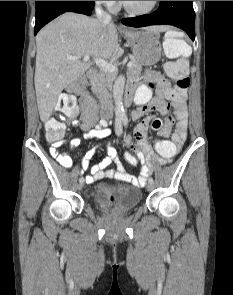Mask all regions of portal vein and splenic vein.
<instances>
[{"label": "portal vein and splenic vein", "instance_id": "1", "mask_svg": "<svg viewBox=\"0 0 233 295\" xmlns=\"http://www.w3.org/2000/svg\"><path fill=\"white\" fill-rule=\"evenodd\" d=\"M67 57V59H69V60H79V59H81L82 57H79V56H72V55H67L66 56ZM89 59H90V56H88V55H85V56H83V61L84 62H87V61H89ZM94 61H95V63L101 68V69H103V70H105V71H108V72H115V70H116V66L114 65V64H112V63H108V62H106L105 60H103L102 58H100V57H96V58H94ZM132 61H130L129 63H128V68H130L131 66H132Z\"/></svg>", "mask_w": 233, "mask_h": 295}]
</instances>
